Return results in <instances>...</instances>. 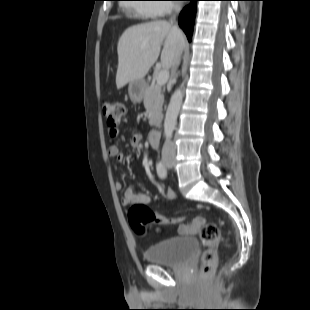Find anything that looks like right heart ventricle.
I'll use <instances>...</instances> for the list:
<instances>
[{"label":"right heart ventricle","mask_w":310,"mask_h":310,"mask_svg":"<svg viewBox=\"0 0 310 310\" xmlns=\"http://www.w3.org/2000/svg\"><path fill=\"white\" fill-rule=\"evenodd\" d=\"M154 4H141L136 6V12L145 19L154 18L158 15L157 10L153 7Z\"/></svg>","instance_id":"e07e8e85"}]
</instances>
